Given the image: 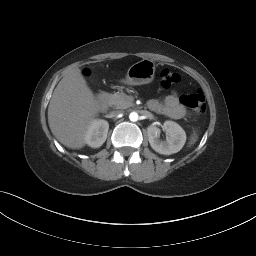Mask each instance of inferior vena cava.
<instances>
[{"label": "inferior vena cava", "mask_w": 256, "mask_h": 256, "mask_svg": "<svg viewBox=\"0 0 256 256\" xmlns=\"http://www.w3.org/2000/svg\"><path fill=\"white\" fill-rule=\"evenodd\" d=\"M121 113V111L120 110H115V111H112L110 114H111V116H117V115H119Z\"/></svg>", "instance_id": "1"}]
</instances>
